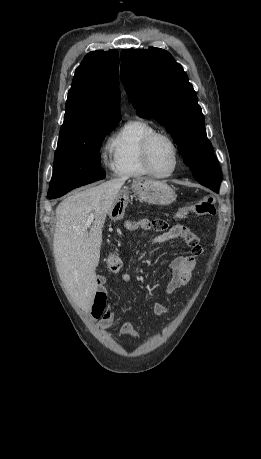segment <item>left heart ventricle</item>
Wrapping results in <instances>:
<instances>
[{
	"mask_svg": "<svg viewBox=\"0 0 261 459\" xmlns=\"http://www.w3.org/2000/svg\"><path fill=\"white\" fill-rule=\"evenodd\" d=\"M151 164L158 173H168L174 166V153L165 139H157L151 149Z\"/></svg>",
	"mask_w": 261,
	"mask_h": 459,
	"instance_id": "left-heart-ventricle-1",
	"label": "left heart ventricle"
}]
</instances>
